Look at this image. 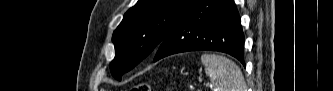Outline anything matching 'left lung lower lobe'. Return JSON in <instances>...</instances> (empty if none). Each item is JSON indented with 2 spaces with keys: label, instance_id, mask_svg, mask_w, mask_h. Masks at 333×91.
Masks as SVG:
<instances>
[{
  "label": "left lung lower lobe",
  "instance_id": "1",
  "mask_svg": "<svg viewBox=\"0 0 333 91\" xmlns=\"http://www.w3.org/2000/svg\"><path fill=\"white\" fill-rule=\"evenodd\" d=\"M233 0H198L156 49L154 62L176 53L219 51L244 66V36Z\"/></svg>",
  "mask_w": 333,
  "mask_h": 91
}]
</instances>
